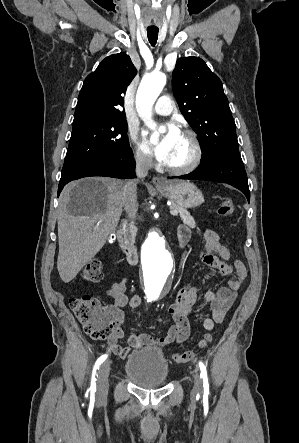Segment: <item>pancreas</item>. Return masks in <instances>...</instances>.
Segmentation results:
<instances>
[{
    "label": "pancreas",
    "mask_w": 299,
    "mask_h": 443,
    "mask_svg": "<svg viewBox=\"0 0 299 443\" xmlns=\"http://www.w3.org/2000/svg\"><path fill=\"white\" fill-rule=\"evenodd\" d=\"M170 209L176 210L180 214V217H181V220L183 221V223L187 224L191 228H195L196 224H195L194 218L190 215V213L185 208H183L173 202L170 206ZM126 232H127L128 240L133 244L135 241L137 228L134 225H130V227L126 230Z\"/></svg>",
    "instance_id": "pancreas-1"
}]
</instances>
